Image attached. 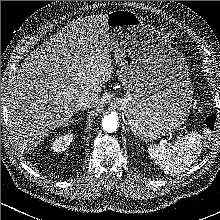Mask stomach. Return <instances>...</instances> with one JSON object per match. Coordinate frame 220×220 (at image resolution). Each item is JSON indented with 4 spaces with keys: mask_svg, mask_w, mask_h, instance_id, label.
<instances>
[{
    "mask_svg": "<svg viewBox=\"0 0 220 220\" xmlns=\"http://www.w3.org/2000/svg\"><path fill=\"white\" fill-rule=\"evenodd\" d=\"M106 27L127 88L115 103L132 134L151 142L179 129L192 108L193 89L188 65L171 47L169 35L131 11L110 12Z\"/></svg>",
    "mask_w": 220,
    "mask_h": 220,
    "instance_id": "0dacf381",
    "label": "stomach"
}]
</instances>
